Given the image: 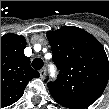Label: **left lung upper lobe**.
Segmentation results:
<instances>
[{
  "mask_svg": "<svg viewBox=\"0 0 109 109\" xmlns=\"http://www.w3.org/2000/svg\"><path fill=\"white\" fill-rule=\"evenodd\" d=\"M47 38L60 70L56 81L47 84L50 93L88 107L100 97L109 79V60L103 46L74 26L48 31Z\"/></svg>",
  "mask_w": 109,
  "mask_h": 109,
  "instance_id": "1",
  "label": "left lung upper lobe"
}]
</instances>
